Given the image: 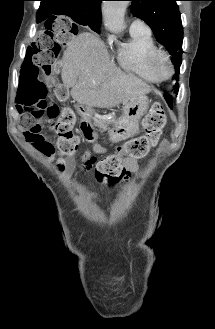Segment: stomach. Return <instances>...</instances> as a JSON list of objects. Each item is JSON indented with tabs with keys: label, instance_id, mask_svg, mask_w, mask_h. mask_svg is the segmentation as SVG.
Returning a JSON list of instances; mask_svg holds the SVG:
<instances>
[{
	"label": "stomach",
	"instance_id": "1",
	"mask_svg": "<svg viewBox=\"0 0 215 329\" xmlns=\"http://www.w3.org/2000/svg\"><path fill=\"white\" fill-rule=\"evenodd\" d=\"M149 101L144 96H138L124 103L123 114L108 131L110 141L117 143L134 137L139 132V122L148 110ZM79 115L85 119L93 116V109L83 104L75 106ZM94 136V140L96 139ZM93 140V141H94Z\"/></svg>",
	"mask_w": 215,
	"mask_h": 329
}]
</instances>
